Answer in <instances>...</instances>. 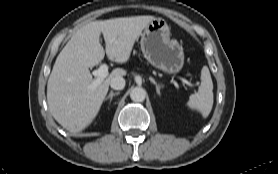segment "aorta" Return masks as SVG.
I'll use <instances>...</instances> for the list:
<instances>
[{
	"mask_svg": "<svg viewBox=\"0 0 278 174\" xmlns=\"http://www.w3.org/2000/svg\"><path fill=\"white\" fill-rule=\"evenodd\" d=\"M146 97V91L142 87H135L130 92V98L134 102H143Z\"/></svg>",
	"mask_w": 278,
	"mask_h": 174,
	"instance_id": "obj_1",
	"label": "aorta"
}]
</instances>
